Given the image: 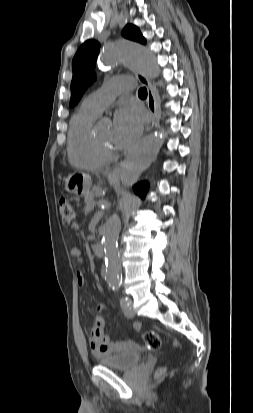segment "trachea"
I'll list each match as a JSON object with an SVG mask.
<instances>
[{
    "label": "trachea",
    "instance_id": "1",
    "mask_svg": "<svg viewBox=\"0 0 253 413\" xmlns=\"http://www.w3.org/2000/svg\"><path fill=\"white\" fill-rule=\"evenodd\" d=\"M138 95L139 96H147V89L145 87L141 88L138 92Z\"/></svg>",
    "mask_w": 253,
    "mask_h": 413
}]
</instances>
